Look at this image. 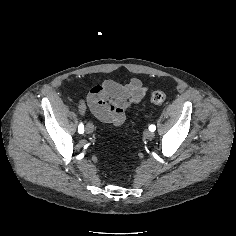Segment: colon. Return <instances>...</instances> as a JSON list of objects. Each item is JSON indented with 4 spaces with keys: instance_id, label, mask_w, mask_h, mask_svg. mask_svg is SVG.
Wrapping results in <instances>:
<instances>
[{
    "instance_id": "colon-1",
    "label": "colon",
    "mask_w": 236,
    "mask_h": 236,
    "mask_svg": "<svg viewBox=\"0 0 236 236\" xmlns=\"http://www.w3.org/2000/svg\"><path fill=\"white\" fill-rule=\"evenodd\" d=\"M166 100V94L162 91H155L151 96V102L161 104Z\"/></svg>"
}]
</instances>
